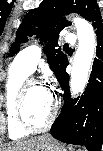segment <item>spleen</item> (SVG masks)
<instances>
[{"label": "spleen", "instance_id": "obj_1", "mask_svg": "<svg viewBox=\"0 0 103 151\" xmlns=\"http://www.w3.org/2000/svg\"><path fill=\"white\" fill-rule=\"evenodd\" d=\"M69 151H74L72 147H69Z\"/></svg>", "mask_w": 103, "mask_h": 151}]
</instances>
